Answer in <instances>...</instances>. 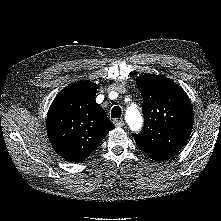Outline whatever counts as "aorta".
<instances>
[{
    "label": "aorta",
    "mask_w": 221,
    "mask_h": 221,
    "mask_svg": "<svg viewBox=\"0 0 221 221\" xmlns=\"http://www.w3.org/2000/svg\"><path fill=\"white\" fill-rule=\"evenodd\" d=\"M125 119L132 131H138L142 127V115L135 104L127 108Z\"/></svg>",
    "instance_id": "1"
}]
</instances>
